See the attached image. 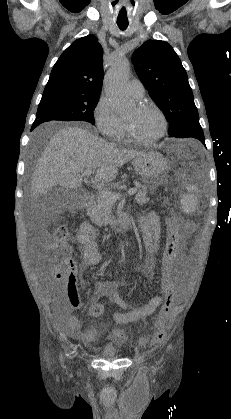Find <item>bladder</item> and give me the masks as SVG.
I'll use <instances>...</instances> for the list:
<instances>
[{"mask_svg": "<svg viewBox=\"0 0 231 419\" xmlns=\"http://www.w3.org/2000/svg\"><path fill=\"white\" fill-rule=\"evenodd\" d=\"M100 357L106 360L118 359L121 355V350L113 343H108L102 347L99 353Z\"/></svg>", "mask_w": 231, "mask_h": 419, "instance_id": "obj_1", "label": "bladder"}]
</instances>
